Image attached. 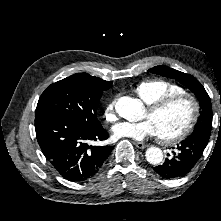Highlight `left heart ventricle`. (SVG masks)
<instances>
[{"mask_svg":"<svg viewBox=\"0 0 221 221\" xmlns=\"http://www.w3.org/2000/svg\"><path fill=\"white\" fill-rule=\"evenodd\" d=\"M145 116L153 121L159 135L171 136L182 130L188 122L190 106L186 101H179L155 114L147 110Z\"/></svg>","mask_w":221,"mask_h":221,"instance_id":"obj_1","label":"left heart ventricle"}]
</instances>
